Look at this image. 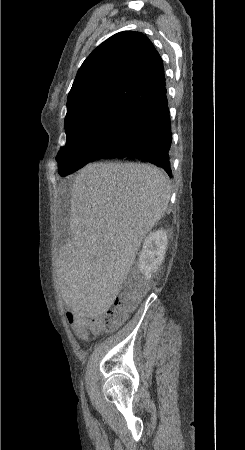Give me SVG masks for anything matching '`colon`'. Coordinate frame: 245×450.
<instances>
[{
    "mask_svg": "<svg viewBox=\"0 0 245 450\" xmlns=\"http://www.w3.org/2000/svg\"><path fill=\"white\" fill-rule=\"evenodd\" d=\"M125 291L120 293L113 304L106 310L83 319L77 326L78 330H111L121 325L132 313L139 300L146 292V287L140 283L138 275H130L124 282Z\"/></svg>",
    "mask_w": 245,
    "mask_h": 450,
    "instance_id": "1",
    "label": "colon"
}]
</instances>
